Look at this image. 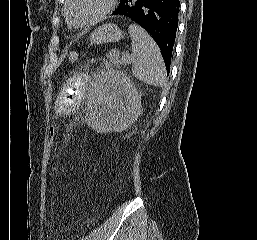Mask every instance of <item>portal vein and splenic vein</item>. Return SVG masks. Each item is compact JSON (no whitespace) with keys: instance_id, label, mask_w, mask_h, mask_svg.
<instances>
[{"instance_id":"obj_1","label":"portal vein and splenic vein","mask_w":257,"mask_h":240,"mask_svg":"<svg viewBox=\"0 0 257 240\" xmlns=\"http://www.w3.org/2000/svg\"><path fill=\"white\" fill-rule=\"evenodd\" d=\"M134 61H135V58L131 57V56L127 55V54H124L121 57V62L124 63V64H129V63H132Z\"/></svg>"}]
</instances>
